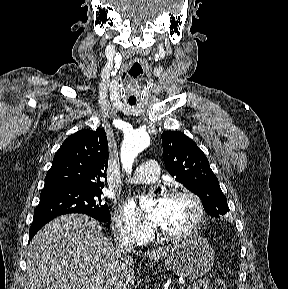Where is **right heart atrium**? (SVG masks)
<instances>
[{"mask_svg": "<svg viewBox=\"0 0 288 289\" xmlns=\"http://www.w3.org/2000/svg\"><path fill=\"white\" fill-rule=\"evenodd\" d=\"M113 226L116 234L122 239L139 244L147 240L151 233V227L145 222L118 210L113 217Z\"/></svg>", "mask_w": 288, "mask_h": 289, "instance_id": "right-heart-atrium-1", "label": "right heart atrium"}]
</instances>
